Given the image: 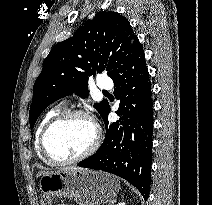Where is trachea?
I'll return each instance as SVG.
<instances>
[{"label":"trachea","instance_id":"3493384b","mask_svg":"<svg viewBox=\"0 0 212 205\" xmlns=\"http://www.w3.org/2000/svg\"><path fill=\"white\" fill-rule=\"evenodd\" d=\"M103 93H108L107 91H103Z\"/></svg>","mask_w":212,"mask_h":205}]
</instances>
